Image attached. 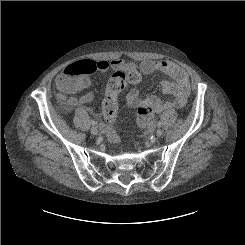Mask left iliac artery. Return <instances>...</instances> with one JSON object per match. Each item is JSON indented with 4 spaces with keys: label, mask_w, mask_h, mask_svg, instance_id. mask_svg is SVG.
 Instances as JSON below:
<instances>
[{
    "label": "left iliac artery",
    "mask_w": 245,
    "mask_h": 245,
    "mask_svg": "<svg viewBox=\"0 0 245 245\" xmlns=\"http://www.w3.org/2000/svg\"><path fill=\"white\" fill-rule=\"evenodd\" d=\"M161 125H162V123H161V121H159V122L157 123V126H158V127H161Z\"/></svg>",
    "instance_id": "1"
}]
</instances>
